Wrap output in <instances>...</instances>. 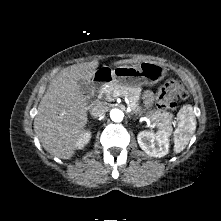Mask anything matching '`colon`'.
Listing matches in <instances>:
<instances>
[{"label":"colon","mask_w":221,"mask_h":221,"mask_svg":"<svg viewBox=\"0 0 221 221\" xmlns=\"http://www.w3.org/2000/svg\"><path fill=\"white\" fill-rule=\"evenodd\" d=\"M158 108L161 110H173L178 105V100L184 99L186 93L182 85L174 80H167L157 92Z\"/></svg>","instance_id":"colon-1"}]
</instances>
